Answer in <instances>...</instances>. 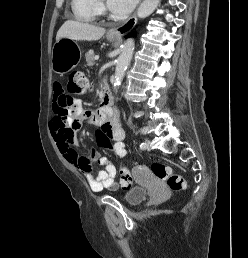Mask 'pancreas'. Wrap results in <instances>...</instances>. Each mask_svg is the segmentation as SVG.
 I'll list each match as a JSON object with an SVG mask.
<instances>
[{"label": "pancreas", "mask_w": 248, "mask_h": 258, "mask_svg": "<svg viewBox=\"0 0 248 258\" xmlns=\"http://www.w3.org/2000/svg\"><path fill=\"white\" fill-rule=\"evenodd\" d=\"M85 57H86V62H87V65H88V66H93V65L95 64V62H94V52H93V50L88 51V52L85 54Z\"/></svg>", "instance_id": "1"}]
</instances>
